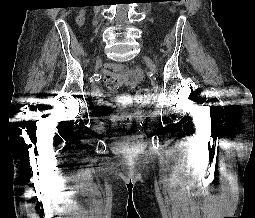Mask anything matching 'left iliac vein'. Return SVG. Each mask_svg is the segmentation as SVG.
Returning <instances> with one entry per match:
<instances>
[{"label": "left iliac vein", "instance_id": "left-iliac-vein-1", "mask_svg": "<svg viewBox=\"0 0 255 218\" xmlns=\"http://www.w3.org/2000/svg\"><path fill=\"white\" fill-rule=\"evenodd\" d=\"M144 61L146 62L147 66L149 67V69L156 74L157 73V67L154 63V61L149 58L148 56H144Z\"/></svg>", "mask_w": 255, "mask_h": 218}]
</instances>
